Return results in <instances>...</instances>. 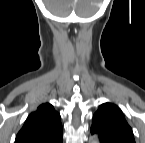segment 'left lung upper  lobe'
Here are the masks:
<instances>
[{
	"label": "left lung upper lobe",
	"mask_w": 145,
	"mask_h": 143,
	"mask_svg": "<svg viewBox=\"0 0 145 143\" xmlns=\"http://www.w3.org/2000/svg\"><path fill=\"white\" fill-rule=\"evenodd\" d=\"M91 134H99L101 143H135L122 111L111 103L102 104L94 114Z\"/></svg>",
	"instance_id": "5c2ea615"
}]
</instances>
